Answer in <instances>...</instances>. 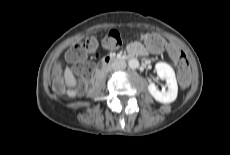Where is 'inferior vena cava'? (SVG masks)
<instances>
[{"instance_id": "obj_1", "label": "inferior vena cava", "mask_w": 230, "mask_h": 155, "mask_svg": "<svg viewBox=\"0 0 230 155\" xmlns=\"http://www.w3.org/2000/svg\"><path fill=\"white\" fill-rule=\"evenodd\" d=\"M126 67V62L124 60H118L116 63L112 65L114 70L124 69Z\"/></svg>"}]
</instances>
